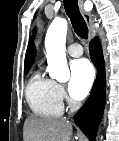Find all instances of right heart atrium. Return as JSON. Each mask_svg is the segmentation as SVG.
Returning <instances> with one entry per match:
<instances>
[{"label":"right heart atrium","instance_id":"d8ad5b80","mask_svg":"<svg viewBox=\"0 0 119 141\" xmlns=\"http://www.w3.org/2000/svg\"><path fill=\"white\" fill-rule=\"evenodd\" d=\"M58 92H59L61 100L67 99L64 88L61 85H58Z\"/></svg>","mask_w":119,"mask_h":141}]
</instances>
